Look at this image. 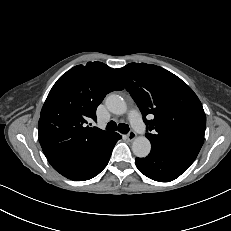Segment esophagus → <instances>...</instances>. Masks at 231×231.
I'll list each match as a JSON object with an SVG mask.
<instances>
[{
  "label": "esophagus",
  "instance_id": "obj_1",
  "mask_svg": "<svg viewBox=\"0 0 231 231\" xmlns=\"http://www.w3.org/2000/svg\"><path fill=\"white\" fill-rule=\"evenodd\" d=\"M135 138H136V133L133 130H131L127 135V139L129 141H133Z\"/></svg>",
  "mask_w": 231,
  "mask_h": 231
}]
</instances>
